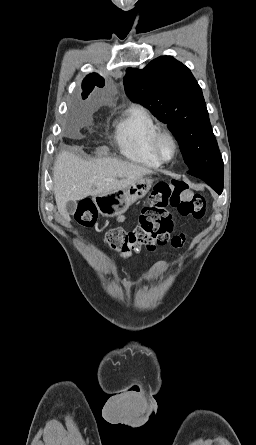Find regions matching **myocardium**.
I'll use <instances>...</instances> for the list:
<instances>
[{
  "mask_svg": "<svg viewBox=\"0 0 256 445\" xmlns=\"http://www.w3.org/2000/svg\"><path fill=\"white\" fill-rule=\"evenodd\" d=\"M165 138L170 140V142L173 145V149H174L173 155L169 159L165 158L161 152V142ZM152 151L159 162H161L163 164L170 163L173 160H175V158L177 157L178 152H179V146H178L177 139L170 131L165 130V129H159L155 133V135L152 139Z\"/></svg>",
  "mask_w": 256,
  "mask_h": 445,
  "instance_id": "myocardium-1",
  "label": "myocardium"
}]
</instances>
